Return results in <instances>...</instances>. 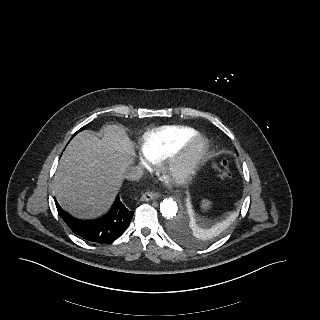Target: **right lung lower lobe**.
<instances>
[{
	"label": "right lung lower lobe",
	"instance_id": "right-lung-lower-lobe-1",
	"mask_svg": "<svg viewBox=\"0 0 320 320\" xmlns=\"http://www.w3.org/2000/svg\"><path fill=\"white\" fill-rule=\"evenodd\" d=\"M56 207L63 221L70 229L84 240L107 243L120 237L128 227L134 212L129 211L117 197L110 211L95 220H78L63 211L55 200Z\"/></svg>",
	"mask_w": 320,
	"mask_h": 320
}]
</instances>
